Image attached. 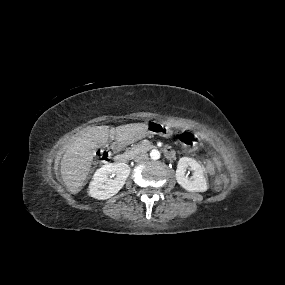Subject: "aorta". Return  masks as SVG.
<instances>
[{"label": "aorta", "mask_w": 285, "mask_h": 285, "mask_svg": "<svg viewBox=\"0 0 285 285\" xmlns=\"http://www.w3.org/2000/svg\"><path fill=\"white\" fill-rule=\"evenodd\" d=\"M160 156H161V154L158 150H156V149L151 150V152H150L151 159L158 160L160 158Z\"/></svg>", "instance_id": "1"}]
</instances>
